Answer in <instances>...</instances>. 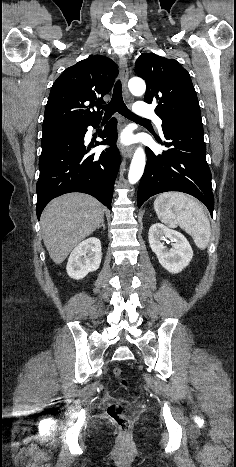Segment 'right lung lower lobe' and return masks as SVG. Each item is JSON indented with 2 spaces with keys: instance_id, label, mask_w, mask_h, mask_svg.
<instances>
[{
  "instance_id": "98d812e1",
  "label": "right lung lower lobe",
  "mask_w": 236,
  "mask_h": 467,
  "mask_svg": "<svg viewBox=\"0 0 236 467\" xmlns=\"http://www.w3.org/2000/svg\"><path fill=\"white\" fill-rule=\"evenodd\" d=\"M100 120L79 130L42 139L39 159L40 175L37 182L38 219L53 198L69 192H83L97 198L111 209L114 182L120 165V154L115 148L117 140L116 119L113 118L100 132L105 140L94 146L109 144L101 154L87 156L90 148L84 145L87 127H97Z\"/></svg>"
}]
</instances>
